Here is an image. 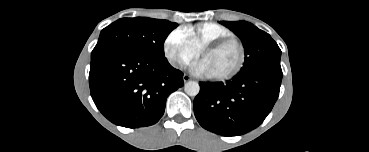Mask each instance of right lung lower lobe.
<instances>
[{"instance_id": "1", "label": "right lung lower lobe", "mask_w": 369, "mask_h": 152, "mask_svg": "<svg viewBox=\"0 0 369 152\" xmlns=\"http://www.w3.org/2000/svg\"><path fill=\"white\" fill-rule=\"evenodd\" d=\"M183 73L164 58L117 51L91 59L89 85L99 111L128 128L153 125L166 99L182 87Z\"/></svg>"}]
</instances>
